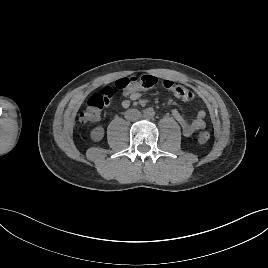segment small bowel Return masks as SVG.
<instances>
[{"mask_svg": "<svg viewBox=\"0 0 268 268\" xmlns=\"http://www.w3.org/2000/svg\"><path fill=\"white\" fill-rule=\"evenodd\" d=\"M140 98L139 90H132L122 100V106L128 108L132 102ZM205 111L200 110L193 118L186 119L177 109L172 110V116L179 123L184 136H192L195 132L205 128Z\"/></svg>", "mask_w": 268, "mask_h": 268, "instance_id": "1", "label": "small bowel"}]
</instances>
